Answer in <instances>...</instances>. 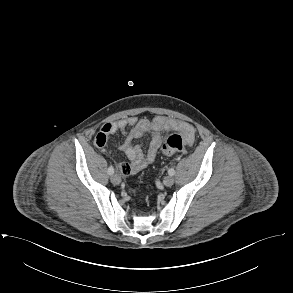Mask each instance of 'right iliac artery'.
Instances as JSON below:
<instances>
[{
    "instance_id": "1",
    "label": "right iliac artery",
    "mask_w": 293,
    "mask_h": 293,
    "mask_svg": "<svg viewBox=\"0 0 293 293\" xmlns=\"http://www.w3.org/2000/svg\"><path fill=\"white\" fill-rule=\"evenodd\" d=\"M114 173V168L112 167V166H110L109 168H108V174L109 175H112Z\"/></svg>"
}]
</instances>
